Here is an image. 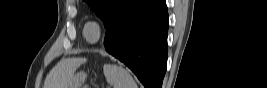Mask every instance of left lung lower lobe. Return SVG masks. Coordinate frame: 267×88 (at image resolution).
Masks as SVG:
<instances>
[{
    "label": "left lung lower lobe",
    "mask_w": 267,
    "mask_h": 88,
    "mask_svg": "<svg viewBox=\"0 0 267 88\" xmlns=\"http://www.w3.org/2000/svg\"><path fill=\"white\" fill-rule=\"evenodd\" d=\"M167 31L165 0H136L106 32L104 46L146 88H161L167 64Z\"/></svg>",
    "instance_id": "obj_1"
}]
</instances>
